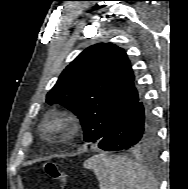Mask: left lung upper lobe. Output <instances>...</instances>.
Instances as JSON below:
<instances>
[{
    "label": "left lung upper lobe",
    "instance_id": "1",
    "mask_svg": "<svg viewBox=\"0 0 188 189\" xmlns=\"http://www.w3.org/2000/svg\"><path fill=\"white\" fill-rule=\"evenodd\" d=\"M134 79L123 49L111 43L95 44L64 69L46 102L58 103L74 112L81 120L84 140L98 143L140 100Z\"/></svg>",
    "mask_w": 188,
    "mask_h": 189
}]
</instances>
